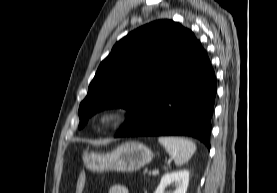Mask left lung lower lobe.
<instances>
[{
	"instance_id": "obj_1",
	"label": "left lung lower lobe",
	"mask_w": 277,
	"mask_h": 193,
	"mask_svg": "<svg viewBox=\"0 0 277 193\" xmlns=\"http://www.w3.org/2000/svg\"><path fill=\"white\" fill-rule=\"evenodd\" d=\"M215 73L198 41L187 60L115 137L184 135L210 149Z\"/></svg>"
}]
</instances>
